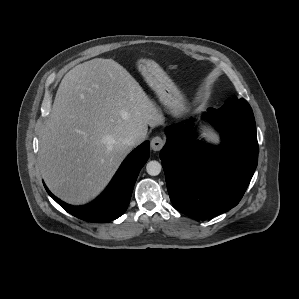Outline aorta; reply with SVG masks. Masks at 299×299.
Returning <instances> with one entry per match:
<instances>
[{"mask_svg":"<svg viewBox=\"0 0 299 299\" xmlns=\"http://www.w3.org/2000/svg\"><path fill=\"white\" fill-rule=\"evenodd\" d=\"M161 169V164L155 160L148 162L146 165V171L151 176H157L158 174H160Z\"/></svg>","mask_w":299,"mask_h":299,"instance_id":"762f6f07","label":"aorta"}]
</instances>
